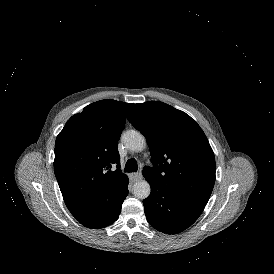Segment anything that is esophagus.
Returning a JSON list of instances; mask_svg holds the SVG:
<instances>
[{
    "mask_svg": "<svg viewBox=\"0 0 274 274\" xmlns=\"http://www.w3.org/2000/svg\"><path fill=\"white\" fill-rule=\"evenodd\" d=\"M130 182L133 183L135 181L141 180L142 179V174L141 172H135V173H130L128 175Z\"/></svg>",
    "mask_w": 274,
    "mask_h": 274,
    "instance_id": "esophagus-1",
    "label": "esophagus"
}]
</instances>
